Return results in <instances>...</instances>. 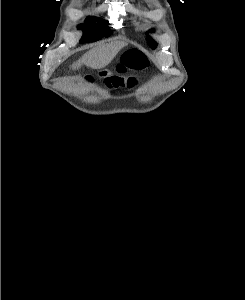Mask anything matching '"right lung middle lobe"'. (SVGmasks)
<instances>
[{
    "instance_id": "obj_1",
    "label": "right lung middle lobe",
    "mask_w": 245,
    "mask_h": 300,
    "mask_svg": "<svg viewBox=\"0 0 245 300\" xmlns=\"http://www.w3.org/2000/svg\"><path fill=\"white\" fill-rule=\"evenodd\" d=\"M94 18L86 19V23L94 24ZM99 24L93 27H87L86 25H80L79 28L84 29V35L80 40V43L93 42L101 39L103 36L108 37L111 31L107 29V22L98 19Z\"/></svg>"
}]
</instances>
